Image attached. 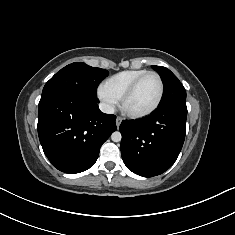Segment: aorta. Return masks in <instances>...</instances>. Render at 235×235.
Returning a JSON list of instances; mask_svg holds the SVG:
<instances>
[{
    "instance_id": "1",
    "label": "aorta",
    "mask_w": 235,
    "mask_h": 235,
    "mask_svg": "<svg viewBox=\"0 0 235 235\" xmlns=\"http://www.w3.org/2000/svg\"><path fill=\"white\" fill-rule=\"evenodd\" d=\"M111 139H112L113 142H120L121 139H122V135H121L120 132L115 131V132L112 133Z\"/></svg>"
}]
</instances>
